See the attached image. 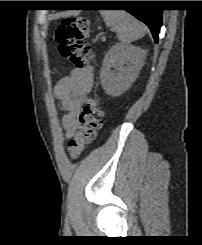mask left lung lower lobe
Returning <instances> with one entry per match:
<instances>
[{
  "mask_svg": "<svg viewBox=\"0 0 202 245\" xmlns=\"http://www.w3.org/2000/svg\"><path fill=\"white\" fill-rule=\"evenodd\" d=\"M103 5H114L115 1H103ZM132 5L137 6H151L153 4L152 1H127ZM126 11L136 17L138 20L145 23L152 35L154 37L155 42H158V34L160 32V27L162 26V10L156 8H130L126 9Z\"/></svg>",
  "mask_w": 202,
  "mask_h": 245,
  "instance_id": "left-lung-lower-lobe-1",
  "label": "left lung lower lobe"
}]
</instances>
